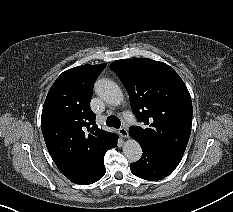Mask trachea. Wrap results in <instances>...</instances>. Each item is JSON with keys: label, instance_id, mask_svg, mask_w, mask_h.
Instances as JSON below:
<instances>
[{"label": "trachea", "instance_id": "obj_1", "mask_svg": "<svg viewBox=\"0 0 233 212\" xmlns=\"http://www.w3.org/2000/svg\"><path fill=\"white\" fill-rule=\"evenodd\" d=\"M107 126L118 129L121 126L120 120L116 116H109L106 121Z\"/></svg>", "mask_w": 233, "mask_h": 212}]
</instances>
